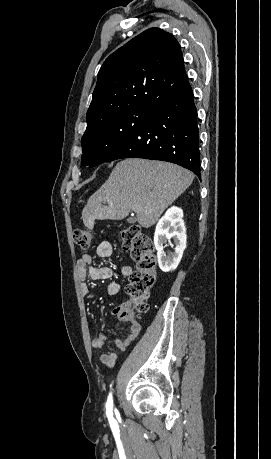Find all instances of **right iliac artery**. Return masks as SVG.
Wrapping results in <instances>:
<instances>
[{"label": "right iliac artery", "instance_id": "82829eb1", "mask_svg": "<svg viewBox=\"0 0 271 459\" xmlns=\"http://www.w3.org/2000/svg\"><path fill=\"white\" fill-rule=\"evenodd\" d=\"M112 409H113V399H112V394L110 393L107 399V403H106V415L109 419V423H113L115 421V419L113 418Z\"/></svg>", "mask_w": 271, "mask_h": 459}]
</instances>
